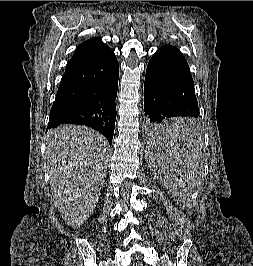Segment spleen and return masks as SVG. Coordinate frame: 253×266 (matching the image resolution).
Masks as SVG:
<instances>
[{
  "label": "spleen",
  "instance_id": "3e777b00",
  "mask_svg": "<svg viewBox=\"0 0 253 266\" xmlns=\"http://www.w3.org/2000/svg\"><path fill=\"white\" fill-rule=\"evenodd\" d=\"M147 129L144 153L148 154L153 173L163 174V182L182 204L201 183L196 125L190 123V117H162V123H148Z\"/></svg>",
  "mask_w": 253,
  "mask_h": 266
}]
</instances>
